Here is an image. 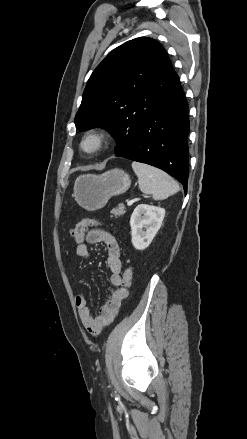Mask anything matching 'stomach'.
<instances>
[{"instance_id": "obj_1", "label": "stomach", "mask_w": 247, "mask_h": 439, "mask_svg": "<svg viewBox=\"0 0 247 439\" xmlns=\"http://www.w3.org/2000/svg\"><path fill=\"white\" fill-rule=\"evenodd\" d=\"M131 185L129 175L122 169H111L101 175L79 176L74 184L73 196L88 211L103 208L113 196L125 193Z\"/></svg>"}]
</instances>
